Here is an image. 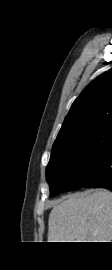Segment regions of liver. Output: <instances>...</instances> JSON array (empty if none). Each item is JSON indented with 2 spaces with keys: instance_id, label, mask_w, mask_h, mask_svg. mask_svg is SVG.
Listing matches in <instances>:
<instances>
[{
  "instance_id": "1",
  "label": "liver",
  "mask_w": 112,
  "mask_h": 270,
  "mask_svg": "<svg viewBox=\"0 0 112 270\" xmlns=\"http://www.w3.org/2000/svg\"><path fill=\"white\" fill-rule=\"evenodd\" d=\"M48 242H110L112 192L99 189L69 195L55 205L48 221Z\"/></svg>"
}]
</instances>
